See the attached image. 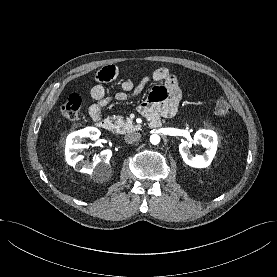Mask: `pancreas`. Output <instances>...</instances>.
<instances>
[{
  "label": "pancreas",
  "mask_w": 277,
  "mask_h": 277,
  "mask_svg": "<svg viewBox=\"0 0 277 277\" xmlns=\"http://www.w3.org/2000/svg\"><path fill=\"white\" fill-rule=\"evenodd\" d=\"M112 119L117 133L125 134L137 129V126L129 124L122 116H113Z\"/></svg>",
  "instance_id": "cf45deb5"
}]
</instances>
